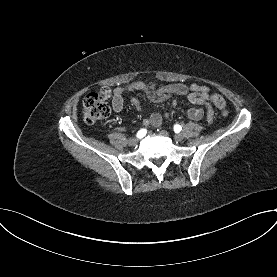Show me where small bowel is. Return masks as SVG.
Masks as SVG:
<instances>
[{
    "instance_id": "obj_1",
    "label": "small bowel",
    "mask_w": 277,
    "mask_h": 277,
    "mask_svg": "<svg viewBox=\"0 0 277 277\" xmlns=\"http://www.w3.org/2000/svg\"><path fill=\"white\" fill-rule=\"evenodd\" d=\"M100 91L108 93L112 96V108L116 113H120L124 106V94L131 92H143L144 95L153 102L162 103L176 96H187L188 101L196 106H202L207 110V120L212 122V100L211 89L205 85L192 83L185 85L182 83H173L156 87L153 83H145L143 81H134L123 86L116 87L112 91L109 88H102ZM132 105L142 111V105L137 98H132ZM186 115L192 120H200L204 116V110L200 107H191L185 110ZM163 117L160 113L154 112L143 120L147 126L159 127Z\"/></svg>"
}]
</instances>
